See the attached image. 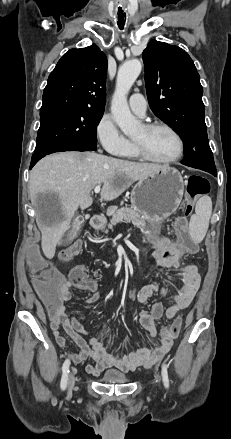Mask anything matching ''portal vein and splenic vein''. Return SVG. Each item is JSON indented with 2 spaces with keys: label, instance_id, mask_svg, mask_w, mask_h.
Instances as JSON below:
<instances>
[{
  "label": "portal vein and splenic vein",
  "instance_id": "18ae733b",
  "mask_svg": "<svg viewBox=\"0 0 231 439\" xmlns=\"http://www.w3.org/2000/svg\"><path fill=\"white\" fill-rule=\"evenodd\" d=\"M94 192L95 193H99L100 192V185L95 186Z\"/></svg>",
  "mask_w": 231,
  "mask_h": 439
}]
</instances>
